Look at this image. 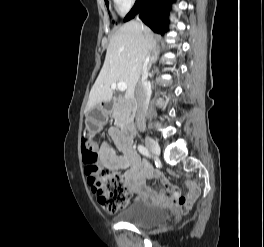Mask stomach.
Listing matches in <instances>:
<instances>
[{"label":"stomach","mask_w":264,"mask_h":247,"mask_svg":"<svg viewBox=\"0 0 264 247\" xmlns=\"http://www.w3.org/2000/svg\"><path fill=\"white\" fill-rule=\"evenodd\" d=\"M107 118L108 110L101 104H98L86 115V125L89 128L92 126H102L105 124Z\"/></svg>","instance_id":"1"}]
</instances>
